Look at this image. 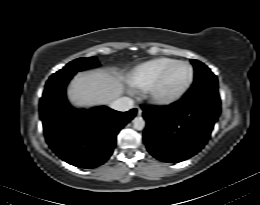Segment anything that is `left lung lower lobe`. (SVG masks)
<instances>
[{
    "instance_id": "1",
    "label": "left lung lower lobe",
    "mask_w": 260,
    "mask_h": 205,
    "mask_svg": "<svg viewBox=\"0 0 260 205\" xmlns=\"http://www.w3.org/2000/svg\"><path fill=\"white\" fill-rule=\"evenodd\" d=\"M147 121L144 143L164 162H180L198 153L208 141L220 113V103L186 97L169 106H143Z\"/></svg>"
}]
</instances>
